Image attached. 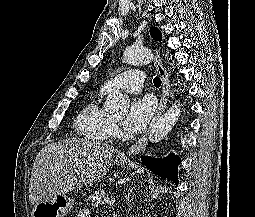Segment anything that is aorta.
Wrapping results in <instances>:
<instances>
[{
    "label": "aorta",
    "mask_w": 255,
    "mask_h": 217,
    "mask_svg": "<svg viewBox=\"0 0 255 217\" xmlns=\"http://www.w3.org/2000/svg\"><path fill=\"white\" fill-rule=\"evenodd\" d=\"M152 58L153 53L147 48L129 47L123 54V61L132 65L147 64ZM128 107V100L121 93H110L106 98L105 108L108 111L124 114L128 112ZM180 112V102H177L156 120L149 132L150 142L157 143L162 140L177 123Z\"/></svg>",
    "instance_id": "obj_1"
}]
</instances>
